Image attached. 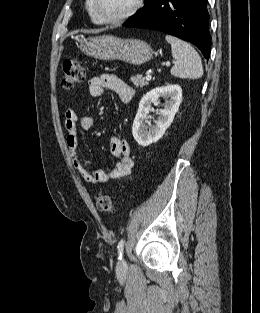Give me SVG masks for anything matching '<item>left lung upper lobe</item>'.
Instances as JSON below:
<instances>
[{
    "label": "left lung upper lobe",
    "instance_id": "left-lung-upper-lobe-1",
    "mask_svg": "<svg viewBox=\"0 0 260 313\" xmlns=\"http://www.w3.org/2000/svg\"><path fill=\"white\" fill-rule=\"evenodd\" d=\"M149 1H150V0H145V4H147ZM135 15H136V14H135ZM135 15L131 16V17L129 18V20L133 19V18L135 17Z\"/></svg>",
    "mask_w": 260,
    "mask_h": 313
}]
</instances>
